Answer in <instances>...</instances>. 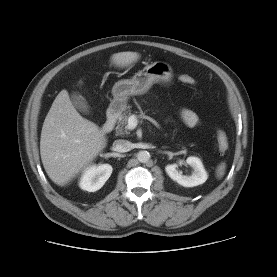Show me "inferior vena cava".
<instances>
[{"label": "inferior vena cava", "mask_w": 277, "mask_h": 277, "mask_svg": "<svg viewBox=\"0 0 277 277\" xmlns=\"http://www.w3.org/2000/svg\"><path fill=\"white\" fill-rule=\"evenodd\" d=\"M113 149L117 152H128L132 149V143L128 140L117 139L113 142Z\"/></svg>", "instance_id": "602c4592"}]
</instances>
